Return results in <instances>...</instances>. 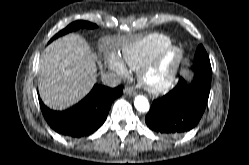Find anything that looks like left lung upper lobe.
<instances>
[{"mask_svg":"<svg viewBox=\"0 0 249 165\" xmlns=\"http://www.w3.org/2000/svg\"><path fill=\"white\" fill-rule=\"evenodd\" d=\"M195 66L209 67L211 68L210 60L202 45H199L195 57H194Z\"/></svg>","mask_w":249,"mask_h":165,"instance_id":"obj_1","label":"left lung upper lobe"}]
</instances>
